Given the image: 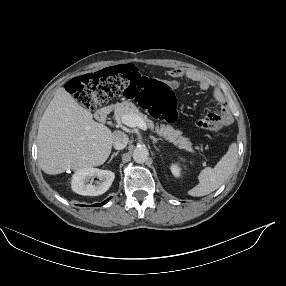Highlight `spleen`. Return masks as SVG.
I'll return each mask as SVG.
<instances>
[{"label": "spleen", "instance_id": "1", "mask_svg": "<svg viewBox=\"0 0 286 286\" xmlns=\"http://www.w3.org/2000/svg\"><path fill=\"white\" fill-rule=\"evenodd\" d=\"M237 161V144L232 143L227 153L214 168H204L199 176V184L188 191L194 197L205 196L218 189L231 175Z\"/></svg>", "mask_w": 286, "mask_h": 286}]
</instances>
